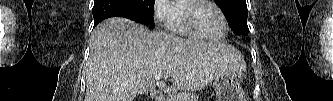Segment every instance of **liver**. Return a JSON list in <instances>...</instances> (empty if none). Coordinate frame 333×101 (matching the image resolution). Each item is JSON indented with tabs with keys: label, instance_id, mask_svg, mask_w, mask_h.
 I'll use <instances>...</instances> for the list:
<instances>
[{
	"label": "liver",
	"instance_id": "1",
	"mask_svg": "<svg viewBox=\"0 0 333 101\" xmlns=\"http://www.w3.org/2000/svg\"><path fill=\"white\" fill-rule=\"evenodd\" d=\"M245 67L230 45L183 39L114 17L91 35L85 101H133L155 88L159 74L179 89L198 91Z\"/></svg>",
	"mask_w": 333,
	"mask_h": 101
}]
</instances>
